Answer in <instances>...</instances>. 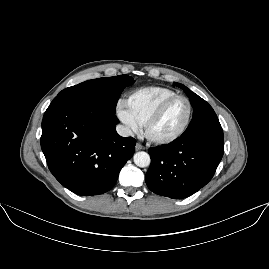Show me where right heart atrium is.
Returning <instances> with one entry per match:
<instances>
[{
	"label": "right heart atrium",
	"mask_w": 269,
	"mask_h": 269,
	"mask_svg": "<svg viewBox=\"0 0 269 269\" xmlns=\"http://www.w3.org/2000/svg\"><path fill=\"white\" fill-rule=\"evenodd\" d=\"M117 115L119 119L125 124L128 131L138 132L140 130V125L129 113L128 109L125 108L122 101H119L117 104Z\"/></svg>",
	"instance_id": "right-heart-atrium-1"
}]
</instances>
